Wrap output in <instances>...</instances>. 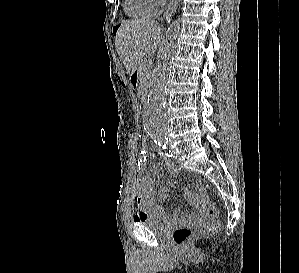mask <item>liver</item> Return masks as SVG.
Wrapping results in <instances>:
<instances>
[{"mask_svg":"<svg viewBox=\"0 0 299 273\" xmlns=\"http://www.w3.org/2000/svg\"><path fill=\"white\" fill-rule=\"evenodd\" d=\"M162 39V28L155 21H125L115 37V47L127 73L137 70L139 61L155 53Z\"/></svg>","mask_w":299,"mask_h":273,"instance_id":"6515ba94","label":"liver"}]
</instances>
